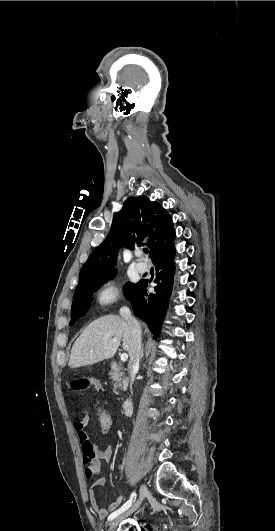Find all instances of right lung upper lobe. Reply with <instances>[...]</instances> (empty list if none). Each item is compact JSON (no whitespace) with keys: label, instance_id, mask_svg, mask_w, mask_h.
<instances>
[{"label":"right lung upper lobe","instance_id":"1","mask_svg":"<svg viewBox=\"0 0 275 531\" xmlns=\"http://www.w3.org/2000/svg\"><path fill=\"white\" fill-rule=\"evenodd\" d=\"M172 231V218L158 202L146 196L127 198L122 209L113 217L109 235L83 265L77 289L90 279L115 271L121 245L134 249L136 245H141L144 238L149 237L146 245L150 248L151 256Z\"/></svg>","mask_w":275,"mask_h":531}]
</instances>
